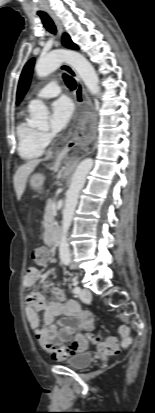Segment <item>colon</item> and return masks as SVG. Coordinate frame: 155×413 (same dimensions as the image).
Returning <instances> with one entry per match:
<instances>
[{
    "label": "colon",
    "mask_w": 155,
    "mask_h": 413,
    "mask_svg": "<svg viewBox=\"0 0 155 413\" xmlns=\"http://www.w3.org/2000/svg\"><path fill=\"white\" fill-rule=\"evenodd\" d=\"M31 256L37 263H44L47 260V251L43 247H36L32 250ZM120 333L122 336V347L128 348L131 344V337L127 326L120 327ZM94 343L97 344L98 349L103 354H113L118 350V342L115 337H107L105 339H99L97 337L91 338ZM84 336H79L76 340L67 348L59 347L52 342H47L43 347L49 352L55 359H60V356H64L70 352L77 350L81 343L85 341Z\"/></svg>",
    "instance_id": "1"
}]
</instances>
